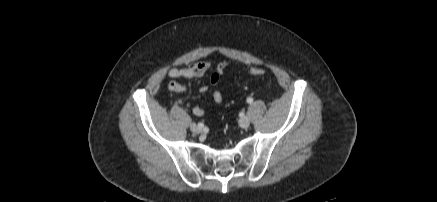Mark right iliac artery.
Returning <instances> with one entry per match:
<instances>
[{"label": "right iliac artery", "mask_w": 437, "mask_h": 202, "mask_svg": "<svg viewBox=\"0 0 437 202\" xmlns=\"http://www.w3.org/2000/svg\"><path fill=\"white\" fill-rule=\"evenodd\" d=\"M198 126H199V127H203V124H202V123H198Z\"/></svg>", "instance_id": "obj_1"}]
</instances>
